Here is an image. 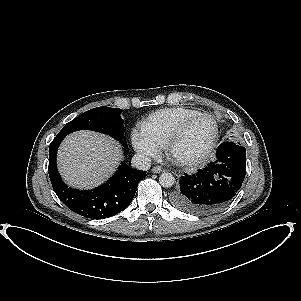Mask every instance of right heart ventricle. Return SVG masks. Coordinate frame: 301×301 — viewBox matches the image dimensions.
Listing matches in <instances>:
<instances>
[{"label": "right heart ventricle", "instance_id": "right-heart-ventricle-1", "mask_svg": "<svg viewBox=\"0 0 301 301\" xmlns=\"http://www.w3.org/2000/svg\"><path fill=\"white\" fill-rule=\"evenodd\" d=\"M200 113L186 107L159 109L141 123V131L159 146H164L170 134L186 119Z\"/></svg>", "mask_w": 301, "mask_h": 301}]
</instances>
